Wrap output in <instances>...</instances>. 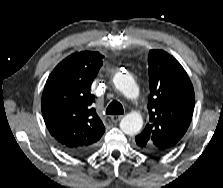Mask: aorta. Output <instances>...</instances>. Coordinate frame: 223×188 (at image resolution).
Wrapping results in <instances>:
<instances>
[{
    "mask_svg": "<svg viewBox=\"0 0 223 188\" xmlns=\"http://www.w3.org/2000/svg\"><path fill=\"white\" fill-rule=\"evenodd\" d=\"M115 87L128 99H136L139 95V88L134 78L129 74L118 72L114 75ZM143 126V119L139 113L127 114L120 121V129L127 135H135L140 132Z\"/></svg>",
    "mask_w": 223,
    "mask_h": 188,
    "instance_id": "aorta-1",
    "label": "aorta"
}]
</instances>
